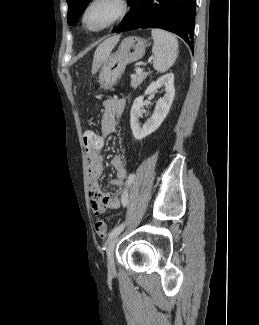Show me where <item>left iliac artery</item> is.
Returning a JSON list of instances; mask_svg holds the SVG:
<instances>
[{
  "instance_id": "left-iliac-artery-1",
  "label": "left iliac artery",
  "mask_w": 259,
  "mask_h": 325,
  "mask_svg": "<svg viewBox=\"0 0 259 325\" xmlns=\"http://www.w3.org/2000/svg\"><path fill=\"white\" fill-rule=\"evenodd\" d=\"M134 180V174H130L128 179H127V182H126V185H127V189L124 191L123 195H122V204L124 207H126L128 205V187H130V185L132 184ZM124 228V224H120L118 225L117 227H115L110 235H109V238H108V241L110 239H112L114 236H116L117 234H119Z\"/></svg>"
}]
</instances>
